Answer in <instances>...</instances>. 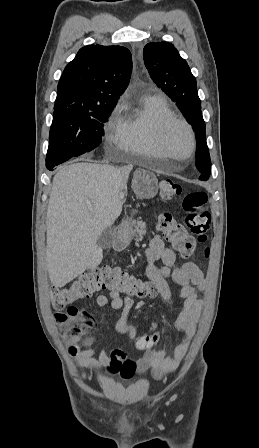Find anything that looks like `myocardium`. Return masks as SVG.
I'll return each instance as SVG.
<instances>
[{
    "label": "myocardium",
    "mask_w": 259,
    "mask_h": 448,
    "mask_svg": "<svg viewBox=\"0 0 259 448\" xmlns=\"http://www.w3.org/2000/svg\"><path fill=\"white\" fill-rule=\"evenodd\" d=\"M180 124L187 130L190 137V155L189 161H194L196 158V135L192 125L183 117L178 115L170 116L164 120H162L159 124L157 130V144L160 149H168L167 145V135L170 128L175 125ZM164 171V170H161Z\"/></svg>",
    "instance_id": "myocardium-1"
}]
</instances>
